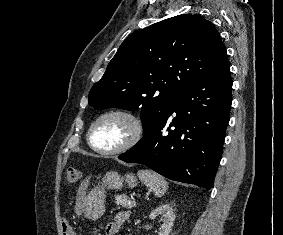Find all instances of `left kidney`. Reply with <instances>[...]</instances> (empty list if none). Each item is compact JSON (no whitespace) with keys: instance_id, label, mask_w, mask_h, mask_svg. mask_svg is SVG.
Returning a JSON list of instances; mask_svg holds the SVG:
<instances>
[{"instance_id":"obj_1","label":"left kidney","mask_w":283,"mask_h":235,"mask_svg":"<svg viewBox=\"0 0 283 235\" xmlns=\"http://www.w3.org/2000/svg\"><path fill=\"white\" fill-rule=\"evenodd\" d=\"M158 216L160 217V221L162 222V225L158 231V235H169L173 226V222L175 220V215L172 207L169 204H163L153 210L150 213L149 218L153 220Z\"/></svg>"}]
</instances>
